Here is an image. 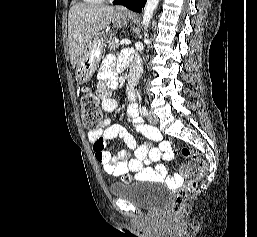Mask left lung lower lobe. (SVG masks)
<instances>
[{
	"label": "left lung lower lobe",
	"mask_w": 257,
	"mask_h": 237,
	"mask_svg": "<svg viewBox=\"0 0 257 237\" xmlns=\"http://www.w3.org/2000/svg\"><path fill=\"white\" fill-rule=\"evenodd\" d=\"M146 1L147 0H117L114 1L113 4L123 5L130 10L140 13L142 11V8H144Z\"/></svg>",
	"instance_id": "1"
}]
</instances>
